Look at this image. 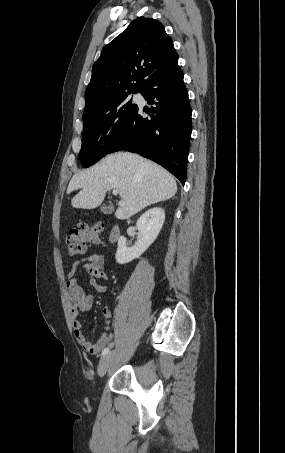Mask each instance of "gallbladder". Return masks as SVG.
<instances>
[{"mask_svg":"<svg viewBox=\"0 0 285 453\" xmlns=\"http://www.w3.org/2000/svg\"><path fill=\"white\" fill-rule=\"evenodd\" d=\"M111 210H112L111 207H106V206H104V207L101 208V211L104 212V213H108V212H110Z\"/></svg>","mask_w":285,"mask_h":453,"instance_id":"1","label":"gallbladder"}]
</instances>
